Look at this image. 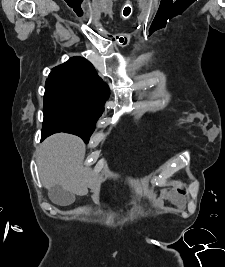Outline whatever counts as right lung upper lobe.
Wrapping results in <instances>:
<instances>
[{"label":"right lung upper lobe","mask_w":225,"mask_h":267,"mask_svg":"<svg viewBox=\"0 0 225 267\" xmlns=\"http://www.w3.org/2000/svg\"><path fill=\"white\" fill-rule=\"evenodd\" d=\"M46 84H65L79 88L103 106L110 91L98 76L93 65L81 57H73L50 72Z\"/></svg>","instance_id":"1"}]
</instances>
